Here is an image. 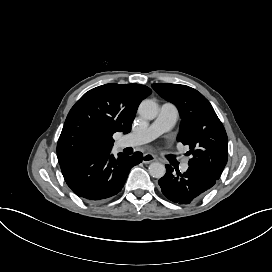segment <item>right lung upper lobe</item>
<instances>
[{
  "label": "right lung upper lobe",
  "mask_w": 272,
  "mask_h": 272,
  "mask_svg": "<svg viewBox=\"0 0 272 272\" xmlns=\"http://www.w3.org/2000/svg\"><path fill=\"white\" fill-rule=\"evenodd\" d=\"M140 84L110 83L86 92L71 108L57 143L59 163L111 151L115 132H130L137 108L151 94Z\"/></svg>",
  "instance_id": "obj_1"
}]
</instances>
